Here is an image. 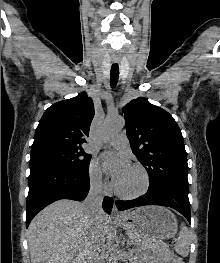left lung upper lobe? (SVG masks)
I'll return each mask as SVG.
<instances>
[{
	"label": "left lung upper lobe",
	"mask_w": 220,
	"mask_h": 263,
	"mask_svg": "<svg viewBox=\"0 0 220 263\" xmlns=\"http://www.w3.org/2000/svg\"><path fill=\"white\" fill-rule=\"evenodd\" d=\"M123 113L131 149L149 175V188L173 185L188 191L184 140L174 118L145 98L129 102Z\"/></svg>",
	"instance_id": "5c2ea615"
}]
</instances>
